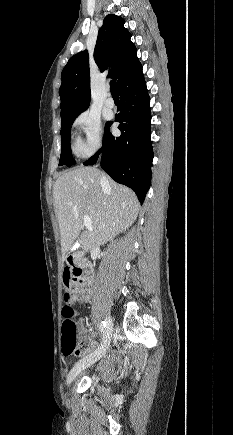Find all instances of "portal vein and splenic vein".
Returning <instances> with one entry per match:
<instances>
[{
	"label": "portal vein and splenic vein",
	"instance_id": "1",
	"mask_svg": "<svg viewBox=\"0 0 233 435\" xmlns=\"http://www.w3.org/2000/svg\"><path fill=\"white\" fill-rule=\"evenodd\" d=\"M84 226L88 229V230H90V231H92L93 230V228H92V223H91V219H90V217L89 216H84Z\"/></svg>",
	"mask_w": 233,
	"mask_h": 435
}]
</instances>
